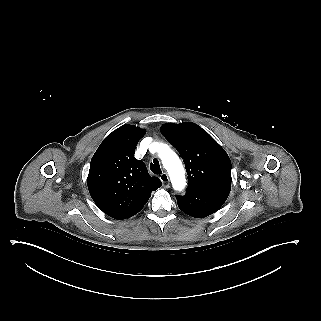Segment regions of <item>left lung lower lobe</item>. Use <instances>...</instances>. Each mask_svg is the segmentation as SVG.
I'll list each match as a JSON object with an SVG mask.
<instances>
[{
    "mask_svg": "<svg viewBox=\"0 0 321 321\" xmlns=\"http://www.w3.org/2000/svg\"><path fill=\"white\" fill-rule=\"evenodd\" d=\"M231 188L189 189L184 196H176L181 211L195 218L215 213L226 201Z\"/></svg>",
    "mask_w": 321,
    "mask_h": 321,
    "instance_id": "1",
    "label": "left lung lower lobe"
}]
</instances>
